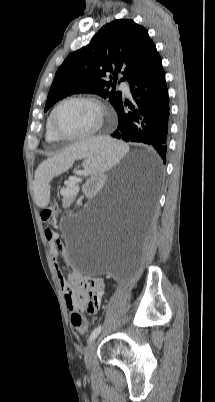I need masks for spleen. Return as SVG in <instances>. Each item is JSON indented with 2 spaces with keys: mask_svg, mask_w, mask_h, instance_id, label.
Instances as JSON below:
<instances>
[{
  "mask_svg": "<svg viewBox=\"0 0 215 402\" xmlns=\"http://www.w3.org/2000/svg\"><path fill=\"white\" fill-rule=\"evenodd\" d=\"M129 147L110 138H92L70 146L58 156L43 162L36 172V186L34 190L35 202L39 210L48 207V183L50 180L68 170L75 159L85 158L83 168L91 176L97 169H110Z\"/></svg>",
  "mask_w": 215,
  "mask_h": 402,
  "instance_id": "obj_1",
  "label": "spleen"
}]
</instances>
